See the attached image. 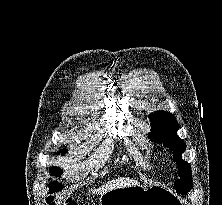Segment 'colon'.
<instances>
[{"instance_id": "1", "label": "colon", "mask_w": 222, "mask_h": 205, "mask_svg": "<svg viewBox=\"0 0 222 205\" xmlns=\"http://www.w3.org/2000/svg\"><path fill=\"white\" fill-rule=\"evenodd\" d=\"M49 205H56V202H54V200L51 197L49 198ZM60 205H77V204L71 201H65Z\"/></svg>"}]
</instances>
